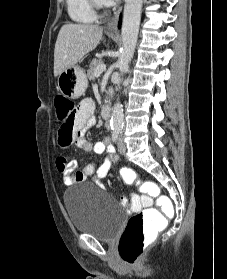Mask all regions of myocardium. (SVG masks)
I'll use <instances>...</instances> for the list:
<instances>
[{
  "mask_svg": "<svg viewBox=\"0 0 227 279\" xmlns=\"http://www.w3.org/2000/svg\"><path fill=\"white\" fill-rule=\"evenodd\" d=\"M92 10L96 13L99 14L101 12H103L104 10V5L102 3L99 2V0H88Z\"/></svg>",
  "mask_w": 227,
  "mask_h": 279,
  "instance_id": "myocardium-1",
  "label": "myocardium"
}]
</instances>
